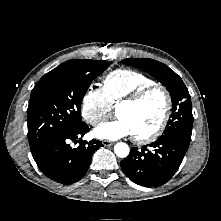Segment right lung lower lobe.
<instances>
[{
    "label": "right lung lower lobe",
    "mask_w": 221,
    "mask_h": 221,
    "mask_svg": "<svg viewBox=\"0 0 221 221\" xmlns=\"http://www.w3.org/2000/svg\"><path fill=\"white\" fill-rule=\"evenodd\" d=\"M89 131L83 122L79 126L51 136L38 146L31 148L33 158L41 172L61 184H71L80 180L90 166L93 153L103 146L99 140L81 141ZM70 141L79 143L71 147Z\"/></svg>",
    "instance_id": "1"
}]
</instances>
